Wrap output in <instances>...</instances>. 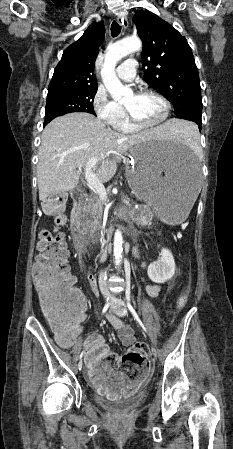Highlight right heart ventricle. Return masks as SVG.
Listing matches in <instances>:
<instances>
[{"instance_id": "right-heart-ventricle-1", "label": "right heart ventricle", "mask_w": 233, "mask_h": 449, "mask_svg": "<svg viewBox=\"0 0 233 449\" xmlns=\"http://www.w3.org/2000/svg\"><path fill=\"white\" fill-rule=\"evenodd\" d=\"M113 127L122 133H134L139 130V128L135 127L128 119L127 114L124 109H122L121 114L112 124Z\"/></svg>"}]
</instances>
